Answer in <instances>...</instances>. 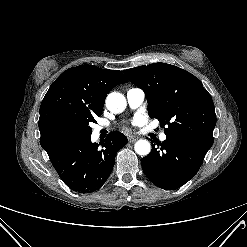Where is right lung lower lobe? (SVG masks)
Masks as SVG:
<instances>
[{"label": "right lung lower lobe", "mask_w": 247, "mask_h": 247, "mask_svg": "<svg viewBox=\"0 0 247 247\" xmlns=\"http://www.w3.org/2000/svg\"><path fill=\"white\" fill-rule=\"evenodd\" d=\"M90 136L68 141L51 154L50 161L63 182L79 193L99 189L108 179L114 166L115 155L127 144V137L111 132L98 148Z\"/></svg>", "instance_id": "right-lung-lower-lobe-1"}]
</instances>
